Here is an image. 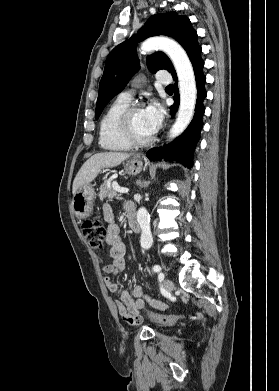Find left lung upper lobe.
Here are the masks:
<instances>
[{"instance_id": "left-lung-upper-lobe-1", "label": "left lung upper lobe", "mask_w": 279, "mask_h": 391, "mask_svg": "<svg viewBox=\"0 0 279 391\" xmlns=\"http://www.w3.org/2000/svg\"><path fill=\"white\" fill-rule=\"evenodd\" d=\"M156 35L173 37L185 49L190 59L200 47L197 33L188 17L180 16L174 11L153 15L136 35L119 44L109 53L99 85L96 119L107 103L124 89L131 77L140 69L139 59L136 56L137 43ZM146 61L148 69L152 73L165 69L172 76L176 75L170 59L163 52H156L148 56Z\"/></svg>"}]
</instances>
